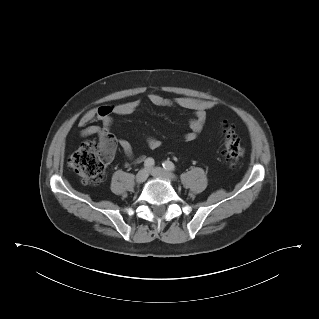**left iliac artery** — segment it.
<instances>
[{"label": "left iliac artery", "instance_id": "obj_1", "mask_svg": "<svg viewBox=\"0 0 319 319\" xmlns=\"http://www.w3.org/2000/svg\"><path fill=\"white\" fill-rule=\"evenodd\" d=\"M162 165H163L164 169H166L168 171L175 170V165L171 161H165V162H163Z\"/></svg>", "mask_w": 319, "mask_h": 319}]
</instances>
